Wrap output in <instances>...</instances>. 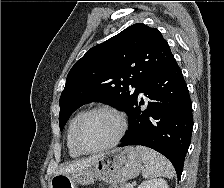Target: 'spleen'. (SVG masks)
Segmentation results:
<instances>
[{
	"label": "spleen",
	"mask_w": 224,
	"mask_h": 188,
	"mask_svg": "<svg viewBox=\"0 0 224 188\" xmlns=\"http://www.w3.org/2000/svg\"><path fill=\"white\" fill-rule=\"evenodd\" d=\"M136 151L145 164V169L142 172L144 178L162 176L171 179L175 176L172 164L163 155L143 146H136Z\"/></svg>",
	"instance_id": "spleen-1"
}]
</instances>
